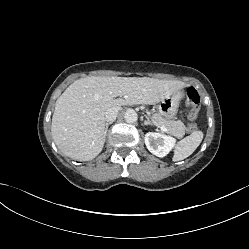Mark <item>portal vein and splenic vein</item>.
<instances>
[{
  "label": "portal vein and splenic vein",
  "instance_id": "18ae733b",
  "mask_svg": "<svg viewBox=\"0 0 249 249\" xmlns=\"http://www.w3.org/2000/svg\"><path fill=\"white\" fill-rule=\"evenodd\" d=\"M159 128H160L163 132H167V131H168L167 128L164 127V126H159Z\"/></svg>",
  "mask_w": 249,
  "mask_h": 249
}]
</instances>
